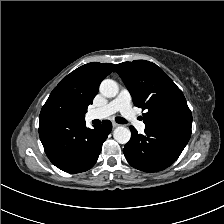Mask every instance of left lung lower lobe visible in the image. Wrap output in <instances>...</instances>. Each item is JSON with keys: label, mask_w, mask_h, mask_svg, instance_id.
I'll return each mask as SVG.
<instances>
[{"label": "left lung lower lobe", "mask_w": 224, "mask_h": 224, "mask_svg": "<svg viewBox=\"0 0 224 224\" xmlns=\"http://www.w3.org/2000/svg\"><path fill=\"white\" fill-rule=\"evenodd\" d=\"M131 139L124 147L128 163L144 172H156L173 164L185 146L191 134L168 128H145V134H138L130 127Z\"/></svg>", "instance_id": "0a47b994"}]
</instances>
